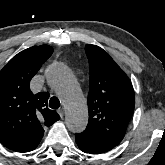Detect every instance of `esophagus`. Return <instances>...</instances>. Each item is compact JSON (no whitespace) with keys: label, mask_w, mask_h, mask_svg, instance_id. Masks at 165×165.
Wrapping results in <instances>:
<instances>
[{"label":"esophagus","mask_w":165,"mask_h":165,"mask_svg":"<svg viewBox=\"0 0 165 165\" xmlns=\"http://www.w3.org/2000/svg\"><path fill=\"white\" fill-rule=\"evenodd\" d=\"M64 112L65 111H64L63 108H61V109L58 110V114L60 115L61 118L64 116Z\"/></svg>","instance_id":"obj_1"}]
</instances>
